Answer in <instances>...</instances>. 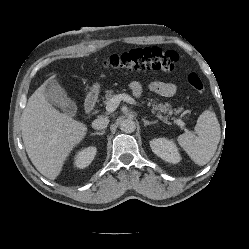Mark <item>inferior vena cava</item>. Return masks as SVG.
I'll return each mask as SVG.
<instances>
[{
  "label": "inferior vena cava",
  "mask_w": 249,
  "mask_h": 249,
  "mask_svg": "<svg viewBox=\"0 0 249 249\" xmlns=\"http://www.w3.org/2000/svg\"><path fill=\"white\" fill-rule=\"evenodd\" d=\"M109 119L107 117H99L92 122V128L95 130H101L107 128Z\"/></svg>",
  "instance_id": "1"
}]
</instances>
